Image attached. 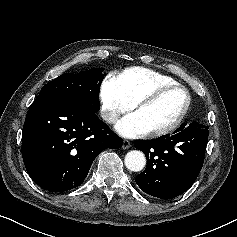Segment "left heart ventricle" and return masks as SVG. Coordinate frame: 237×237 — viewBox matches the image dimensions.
Returning a JSON list of instances; mask_svg holds the SVG:
<instances>
[{
  "label": "left heart ventricle",
  "mask_w": 237,
  "mask_h": 237,
  "mask_svg": "<svg viewBox=\"0 0 237 237\" xmlns=\"http://www.w3.org/2000/svg\"><path fill=\"white\" fill-rule=\"evenodd\" d=\"M186 102V95L180 89L165 92L155 101L139 108L140 116L148 131L169 125L181 112Z\"/></svg>",
  "instance_id": "obj_1"
}]
</instances>
